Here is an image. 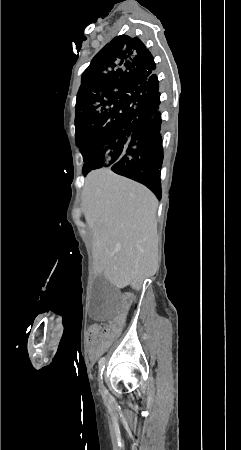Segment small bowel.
<instances>
[{"mask_svg": "<svg viewBox=\"0 0 241 450\" xmlns=\"http://www.w3.org/2000/svg\"><path fill=\"white\" fill-rule=\"evenodd\" d=\"M121 306H122V308L127 309V308H129L130 303H129V301L124 300V301H122ZM118 316H119V318L124 319V318H126L127 313H126V311L121 310V311H119ZM113 325H114V327L106 328L104 330V333L106 335H110V336L117 335V333H118L117 329L122 328L124 324L122 321L117 320L114 322ZM87 333H88V335L93 336V335H95L96 330H95V328L90 327V328H88ZM109 340L112 342L114 339L111 337ZM102 352H103V346H101L99 344H93L90 346L89 354L93 360H96L102 354Z\"/></svg>", "mask_w": 241, "mask_h": 450, "instance_id": "1", "label": "small bowel"}]
</instances>
